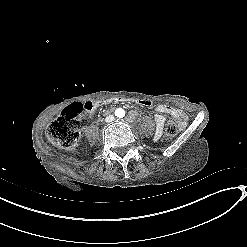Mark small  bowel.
Here are the masks:
<instances>
[{
	"instance_id": "small-bowel-1",
	"label": "small bowel",
	"mask_w": 247,
	"mask_h": 247,
	"mask_svg": "<svg viewBox=\"0 0 247 247\" xmlns=\"http://www.w3.org/2000/svg\"><path fill=\"white\" fill-rule=\"evenodd\" d=\"M155 110L157 113L155 115L154 121L156 125V133L158 135L161 134L163 130L167 116H170L173 119H175L178 122L179 126L181 127L184 126L185 116L180 110L163 105V104L157 105Z\"/></svg>"
}]
</instances>
